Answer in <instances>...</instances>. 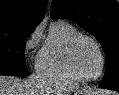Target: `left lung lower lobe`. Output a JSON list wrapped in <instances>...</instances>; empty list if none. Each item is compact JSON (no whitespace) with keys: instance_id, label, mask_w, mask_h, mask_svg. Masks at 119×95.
Returning a JSON list of instances; mask_svg holds the SVG:
<instances>
[{"instance_id":"1","label":"left lung lower lobe","mask_w":119,"mask_h":95,"mask_svg":"<svg viewBox=\"0 0 119 95\" xmlns=\"http://www.w3.org/2000/svg\"><path fill=\"white\" fill-rule=\"evenodd\" d=\"M101 88V87H100ZM105 89H107V88H105ZM112 90H115V91H118L119 92V88L118 87H116V88H114V89H112Z\"/></svg>"}]
</instances>
